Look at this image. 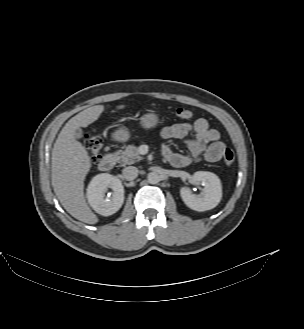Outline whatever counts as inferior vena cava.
Wrapping results in <instances>:
<instances>
[{
	"label": "inferior vena cava",
	"instance_id": "inferior-vena-cava-1",
	"mask_svg": "<svg viewBox=\"0 0 304 329\" xmlns=\"http://www.w3.org/2000/svg\"><path fill=\"white\" fill-rule=\"evenodd\" d=\"M138 172L139 170L134 166L125 167L122 171L123 177L129 181L134 180L138 176Z\"/></svg>",
	"mask_w": 304,
	"mask_h": 329
}]
</instances>
